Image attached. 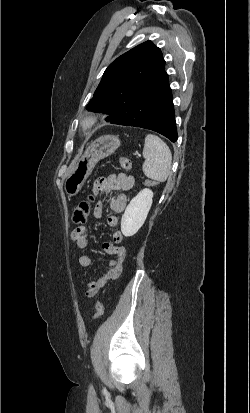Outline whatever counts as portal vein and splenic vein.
I'll return each mask as SVG.
<instances>
[{"instance_id":"18ae733b","label":"portal vein and splenic vein","mask_w":250,"mask_h":413,"mask_svg":"<svg viewBox=\"0 0 250 413\" xmlns=\"http://www.w3.org/2000/svg\"><path fill=\"white\" fill-rule=\"evenodd\" d=\"M137 157H141V155H140V154H137Z\"/></svg>"}]
</instances>
